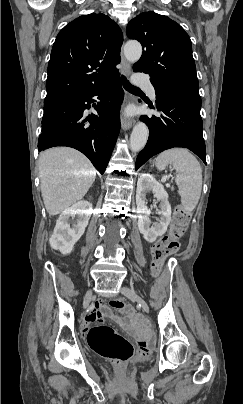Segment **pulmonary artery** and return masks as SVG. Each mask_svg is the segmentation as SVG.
Listing matches in <instances>:
<instances>
[{
	"instance_id": "obj_1",
	"label": "pulmonary artery",
	"mask_w": 243,
	"mask_h": 404,
	"mask_svg": "<svg viewBox=\"0 0 243 404\" xmlns=\"http://www.w3.org/2000/svg\"><path fill=\"white\" fill-rule=\"evenodd\" d=\"M148 96L152 99L155 100L156 99V91H155V87L152 83H148L147 85L144 86Z\"/></svg>"
}]
</instances>
